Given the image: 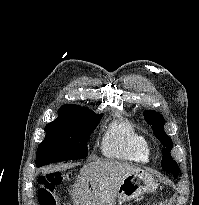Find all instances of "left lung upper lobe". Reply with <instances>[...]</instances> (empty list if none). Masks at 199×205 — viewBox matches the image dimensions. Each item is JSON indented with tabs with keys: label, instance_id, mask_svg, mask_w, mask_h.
Segmentation results:
<instances>
[{
	"label": "left lung upper lobe",
	"instance_id": "1",
	"mask_svg": "<svg viewBox=\"0 0 199 205\" xmlns=\"http://www.w3.org/2000/svg\"><path fill=\"white\" fill-rule=\"evenodd\" d=\"M143 115H144L146 122L152 125L154 135L165 146V148L163 149L161 167L165 171L173 174L175 177H178L180 169L170 154L172 150L173 142L171 138L164 131L165 120L163 116L159 112H156L153 110H146L143 113Z\"/></svg>",
	"mask_w": 199,
	"mask_h": 205
}]
</instances>
